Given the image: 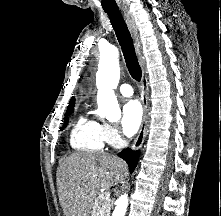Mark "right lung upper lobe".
<instances>
[{"label": "right lung upper lobe", "mask_w": 221, "mask_h": 216, "mask_svg": "<svg viewBox=\"0 0 221 216\" xmlns=\"http://www.w3.org/2000/svg\"><path fill=\"white\" fill-rule=\"evenodd\" d=\"M74 104H75V99L72 98L69 102V105H68V110L69 112H72L73 111V107H74Z\"/></svg>", "instance_id": "1"}]
</instances>
